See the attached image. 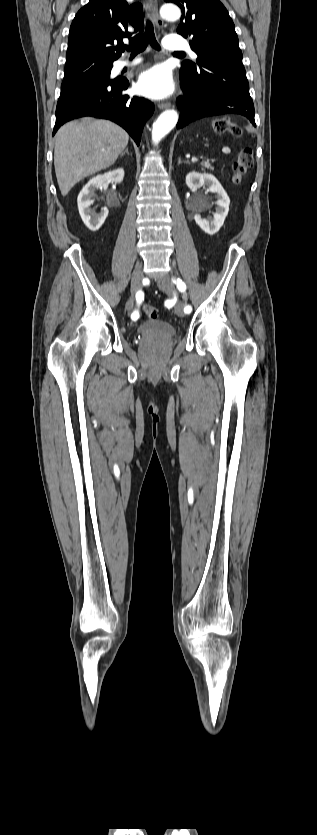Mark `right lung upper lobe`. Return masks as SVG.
<instances>
[{"label":"right lung upper lobe","instance_id":"obj_1","mask_svg":"<svg viewBox=\"0 0 317 835\" xmlns=\"http://www.w3.org/2000/svg\"><path fill=\"white\" fill-rule=\"evenodd\" d=\"M143 29L140 3L128 6L126 0H90L71 24L66 57L97 56L113 62L124 51L120 41L125 37L136 40Z\"/></svg>","mask_w":317,"mask_h":835}]
</instances>
